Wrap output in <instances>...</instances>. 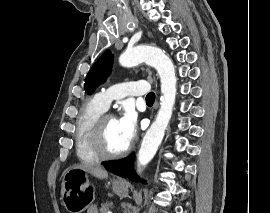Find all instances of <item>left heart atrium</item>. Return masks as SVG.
I'll use <instances>...</instances> for the list:
<instances>
[{
  "label": "left heart atrium",
  "instance_id": "obj_1",
  "mask_svg": "<svg viewBox=\"0 0 270 213\" xmlns=\"http://www.w3.org/2000/svg\"><path fill=\"white\" fill-rule=\"evenodd\" d=\"M118 125L126 145L129 146L136 137V115L131 108L124 110L118 119Z\"/></svg>",
  "mask_w": 270,
  "mask_h": 213
}]
</instances>
